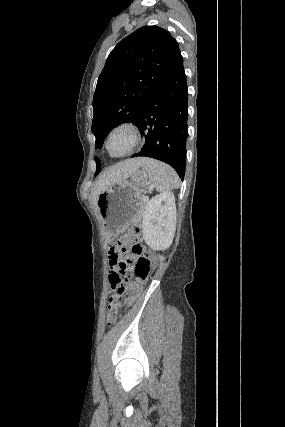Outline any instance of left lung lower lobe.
<instances>
[{
	"label": "left lung lower lobe",
	"mask_w": 285,
	"mask_h": 427,
	"mask_svg": "<svg viewBox=\"0 0 285 427\" xmlns=\"http://www.w3.org/2000/svg\"><path fill=\"white\" fill-rule=\"evenodd\" d=\"M188 90L180 55L141 110L135 124L145 134V156L172 166L183 180L186 168Z\"/></svg>",
	"instance_id": "obj_1"
}]
</instances>
